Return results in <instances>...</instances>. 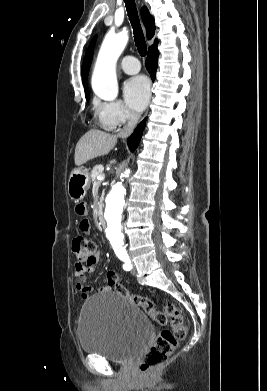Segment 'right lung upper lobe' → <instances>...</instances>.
I'll use <instances>...</instances> for the list:
<instances>
[{"instance_id": "1", "label": "right lung upper lobe", "mask_w": 267, "mask_h": 391, "mask_svg": "<svg viewBox=\"0 0 267 391\" xmlns=\"http://www.w3.org/2000/svg\"><path fill=\"white\" fill-rule=\"evenodd\" d=\"M141 16H142V20L145 24V27L147 29V37H148V39H151L155 33L154 18L149 13V11L146 7L142 8ZM95 41H96V37L92 40V42L88 48V51L86 53V56H85V59H84L83 65H82V69H81L82 80H83V84L85 85V92L86 91L89 92L87 85H86V82H87L88 73H89V69H90V65H91V61H92ZM156 48H157V40H155L154 44L149 48V51L154 50Z\"/></svg>"}]
</instances>
